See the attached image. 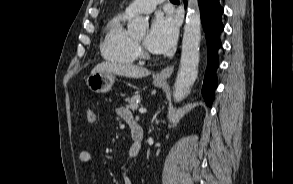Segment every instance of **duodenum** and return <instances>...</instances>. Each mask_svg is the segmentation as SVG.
Listing matches in <instances>:
<instances>
[{"label":"duodenum","instance_id":"1","mask_svg":"<svg viewBox=\"0 0 293 184\" xmlns=\"http://www.w3.org/2000/svg\"><path fill=\"white\" fill-rule=\"evenodd\" d=\"M131 129V136H132V146L135 153H138L141 148V143L143 139V129L140 125L136 122H132L129 124Z\"/></svg>","mask_w":293,"mask_h":184}]
</instances>
